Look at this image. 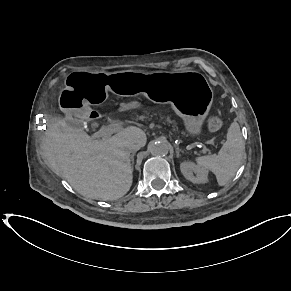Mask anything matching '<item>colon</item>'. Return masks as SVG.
<instances>
[{
  "instance_id": "5ec220e1",
  "label": "colon",
  "mask_w": 291,
  "mask_h": 291,
  "mask_svg": "<svg viewBox=\"0 0 291 291\" xmlns=\"http://www.w3.org/2000/svg\"><path fill=\"white\" fill-rule=\"evenodd\" d=\"M207 124H208V127H209L210 130L217 131L222 126V119L218 115H212L208 119Z\"/></svg>"
}]
</instances>
